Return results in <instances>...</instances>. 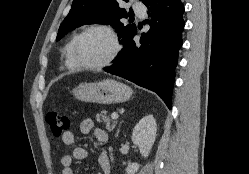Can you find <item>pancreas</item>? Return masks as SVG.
I'll list each match as a JSON object with an SVG mask.
<instances>
[{
	"label": "pancreas",
	"instance_id": "pancreas-1",
	"mask_svg": "<svg viewBox=\"0 0 249 174\" xmlns=\"http://www.w3.org/2000/svg\"><path fill=\"white\" fill-rule=\"evenodd\" d=\"M97 122H103L106 125V129L108 131H112V129L116 126V121L110 119L105 111H102L100 114L96 115Z\"/></svg>",
	"mask_w": 249,
	"mask_h": 174
}]
</instances>
